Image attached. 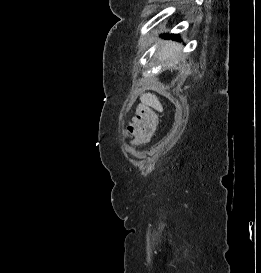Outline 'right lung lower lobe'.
<instances>
[{
    "label": "right lung lower lobe",
    "mask_w": 261,
    "mask_h": 273,
    "mask_svg": "<svg viewBox=\"0 0 261 273\" xmlns=\"http://www.w3.org/2000/svg\"><path fill=\"white\" fill-rule=\"evenodd\" d=\"M171 37H173V38H175V39L179 38L178 35H171Z\"/></svg>",
    "instance_id": "98d812e1"
}]
</instances>
